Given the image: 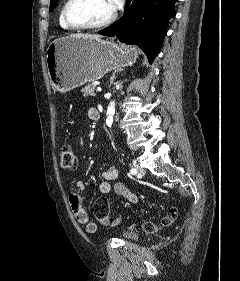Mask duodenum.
<instances>
[{
    "instance_id": "410a0bca",
    "label": "duodenum",
    "mask_w": 240,
    "mask_h": 281,
    "mask_svg": "<svg viewBox=\"0 0 240 281\" xmlns=\"http://www.w3.org/2000/svg\"><path fill=\"white\" fill-rule=\"evenodd\" d=\"M96 118L99 119L100 118V113L97 111V115Z\"/></svg>"
}]
</instances>
